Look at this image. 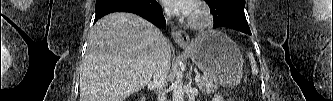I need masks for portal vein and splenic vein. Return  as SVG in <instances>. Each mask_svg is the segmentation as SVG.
I'll return each instance as SVG.
<instances>
[{"label":"portal vein and splenic vein","instance_id":"portal-vein-and-splenic-vein-1","mask_svg":"<svg viewBox=\"0 0 333 101\" xmlns=\"http://www.w3.org/2000/svg\"><path fill=\"white\" fill-rule=\"evenodd\" d=\"M200 78H201V76L197 75L196 79H195L196 85H198V86H199V83H200Z\"/></svg>","mask_w":333,"mask_h":101}]
</instances>
